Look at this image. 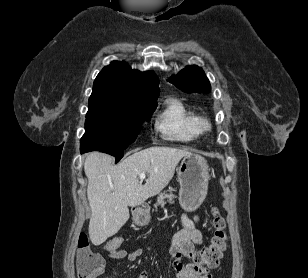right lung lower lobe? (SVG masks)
I'll use <instances>...</instances> for the list:
<instances>
[{
  "instance_id": "obj_1",
  "label": "right lung lower lobe",
  "mask_w": 308,
  "mask_h": 278,
  "mask_svg": "<svg viewBox=\"0 0 308 278\" xmlns=\"http://www.w3.org/2000/svg\"><path fill=\"white\" fill-rule=\"evenodd\" d=\"M83 153H85V152L81 151V154H83Z\"/></svg>"
}]
</instances>
